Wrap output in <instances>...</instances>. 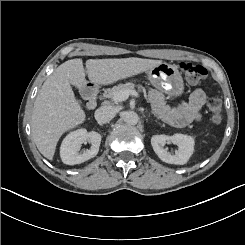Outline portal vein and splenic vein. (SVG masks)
Wrapping results in <instances>:
<instances>
[{"instance_id":"1","label":"portal vein and splenic vein","mask_w":245,"mask_h":245,"mask_svg":"<svg viewBox=\"0 0 245 245\" xmlns=\"http://www.w3.org/2000/svg\"><path fill=\"white\" fill-rule=\"evenodd\" d=\"M135 95L136 92L134 90H121L119 91L117 94H116V97H115V100H118V101H124L126 100L129 95Z\"/></svg>"}]
</instances>
